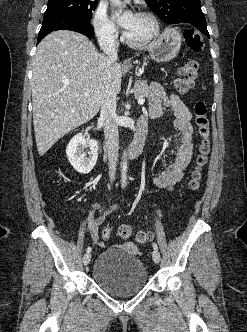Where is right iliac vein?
<instances>
[{"label":"right iliac vein","instance_id":"63e3f726","mask_svg":"<svg viewBox=\"0 0 247 332\" xmlns=\"http://www.w3.org/2000/svg\"><path fill=\"white\" fill-rule=\"evenodd\" d=\"M91 260V253H86L83 257V263L84 265H88Z\"/></svg>","mask_w":247,"mask_h":332}]
</instances>
